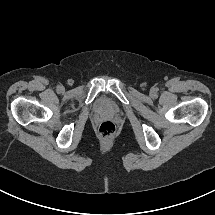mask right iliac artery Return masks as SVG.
I'll return each mask as SVG.
<instances>
[{
    "label": "right iliac artery",
    "instance_id": "82829eb1",
    "mask_svg": "<svg viewBox=\"0 0 215 215\" xmlns=\"http://www.w3.org/2000/svg\"><path fill=\"white\" fill-rule=\"evenodd\" d=\"M61 87H62V86H57V90H58V91H61Z\"/></svg>",
    "mask_w": 215,
    "mask_h": 215
}]
</instances>
